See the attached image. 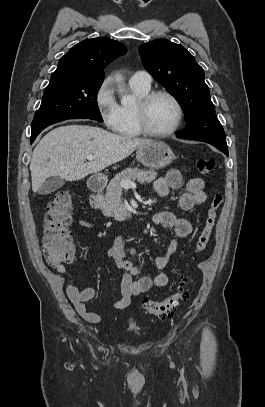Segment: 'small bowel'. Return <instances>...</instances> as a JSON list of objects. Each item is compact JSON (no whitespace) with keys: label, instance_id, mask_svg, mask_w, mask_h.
<instances>
[{"label":"small bowel","instance_id":"small-bowel-1","mask_svg":"<svg viewBox=\"0 0 265 407\" xmlns=\"http://www.w3.org/2000/svg\"><path fill=\"white\" fill-rule=\"evenodd\" d=\"M182 188L186 189V192L183 193L180 198V207L184 211H192L206 201L204 180L202 178L193 177L185 182L180 172L172 169L154 183V189L161 198H166L171 190H179ZM154 222L158 226L170 229L177 238L190 236L194 229L193 223L190 220L178 218L166 210L157 212L154 215ZM78 225L86 229H92L94 227L92 222L85 219L79 220ZM178 248V240L172 239L164 254L155 260V266L160 271L151 277L144 276L139 279H134V277L138 275L139 270L136 266L132 265L126 257V238L123 236L117 237L112 247L109 248L107 255L115 262L119 270L121 278V297L112 304L111 308L114 310H124L130 306L133 296L146 292L151 288L165 287L168 283V276L161 270L168 265ZM128 251L132 255L136 254V250L133 247H130ZM56 270L67 275L65 284L66 295L74 305L77 313L90 323H98L100 316L90 311L87 307V302L95 297L96 290L93 287L79 289L75 286L73 279L66 272L64 266L57 267Z\"/></svg>","mask_w":265,"mask_h":407}]
</instances>
